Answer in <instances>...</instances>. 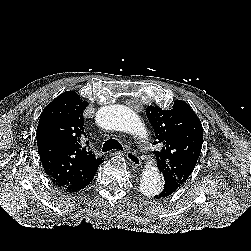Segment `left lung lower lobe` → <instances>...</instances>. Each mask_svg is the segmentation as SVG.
Listing matches in <instances>:
<instances>
[{
	"mask_svg": "<svg viewBox=\"0 0 251 251\" xmlns=\"http://www.w3.org/2000/svg\"><path fill=\"white\" fill-rule=\"evenodd\" d=\"M180 186L172 179H166L163 182V187L161 191L155 195L156 199H161L168 197L172 193H174Z\"/></svg>",
	"mask_w": 251,
	"mask_h": 251,
	"instance_id": "1",
	"label": "left lung lower lobe"
}]
</instances>
